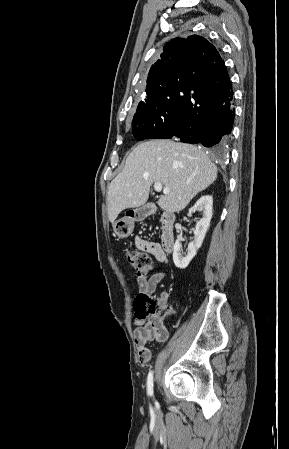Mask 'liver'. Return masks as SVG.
I'll return each instance as SVG.
<instances>
[{"mask_svg":"<svg viewBox=\"0 0 289 449\" xmlns=\"http://www.w3.org/2000/svg\"><path fill=\"white\" fill-rule=\"evenodd\" d=\"M217 179V168L196 146L171 140L137 145L124 169L108 189V218L114 224L121 211L146 203L150 187L160 182L170 192L158 200L166 212H179Z\"/></svg>","mask_w":289,"mask_h":449,"instance_id":"liver-1","label":"liver"}]
</instances>
